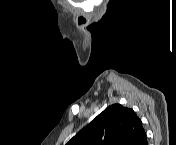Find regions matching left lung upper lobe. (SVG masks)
Segmentation results:
<instances>
[{
    "label": "left lung upper lobe",
    "instance_id": "5c2ea615",
    "mask_svg": "<svg viewBox=\"0 0 176 145\" xmlns=\"http://www.w3.org/2000/svg\"><path fill=\"white\" fill-rule=\"evenodd\" d=\"M146 137L132 109L114 104L80 130L67 145H141Z\"/></svg>",
    "mask_w": 176,
    "mask_h": 145
}]
</instances>
